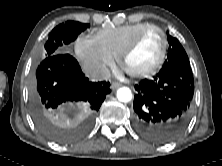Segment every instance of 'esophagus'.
<instances>
[{"instance_id": "34e87169", "label": "esophagus", "mask_w": 222, "mask_h": 166, "mask_svg": "<svg viewBox=\"0 0 222 166\" xmlns=\"http://www.w3.org/2000/svg\"><path fill=\"white\" fill-rule=\"evenodd\" d=\"M120 86H121V85H120L119 83H115V82L111 84V88H112L113 90L118 89Z\"/></svg>"}]
</instances>
